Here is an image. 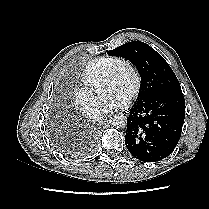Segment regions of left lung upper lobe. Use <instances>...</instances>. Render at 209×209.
Segmentation results:
<instances>
[{
  "label": "left lung upper lobe",
  "mask_w": 209,
  "mask_h": 209,
  "mask_svg": "<svg viewBox=\"0 0 209 209\" xmlns=\"http://www.w3.org/2000/svg\"><path fill=\"white\" fill-rule=\"evenodd\" d=\"M108 55L123 57L136 66L141 76L140 92L136 103L174 88H180L179 81L165 59L152 47L140 41L123 44Z\"/></svg>",
  "instance_id": "obj_1"
}]
</instances>
